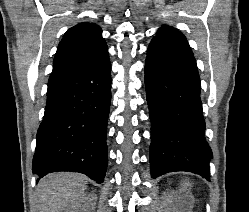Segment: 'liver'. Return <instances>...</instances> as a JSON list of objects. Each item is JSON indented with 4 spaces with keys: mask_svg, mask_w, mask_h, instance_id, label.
I'll list each match as a JSON object with an SVG mask.
<instances>
[{
    "mask_svg": "<svg viewBox=\"0 0 249 212\" xmlns=\"http://www.w3.org/2000/svg\"><path fill=\"white\" fill-rule=\"evenodd\" d=\"M88 178L83 174L59 172L48 174L37 186L39 212H64L79 210V198L84 196Z\"/></svg>",
    "mask_w": 249,
    "mask_h": 212,
    "instance_id": "obj_1",
    "label": "liver"
}]
</instances>
